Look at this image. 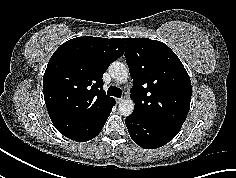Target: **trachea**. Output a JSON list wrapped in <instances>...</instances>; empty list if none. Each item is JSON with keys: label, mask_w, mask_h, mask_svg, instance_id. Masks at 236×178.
Returning a JSON list of instances; mask_svg holds the SVG:
<instances>
[{"label": "trachea", "mask_w": 236, "mask_h": 178, "mask_svg": "<svg viewBox=\"0 0 236 178\" xmlns=\"http://www.w3.org/2000/svg\"><path fill=\"white\" fill-rule=\"evenodd\" d=\"M107 94L109 96H114V97L120 98L121 95H122V92H121V90L119 88H116L114 86H110L108 88Z\"/></svg>", "instance_id": "trachea-1"}]
</instances>
